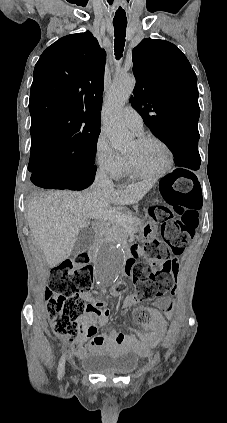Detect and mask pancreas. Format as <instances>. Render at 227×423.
Masks as SVG:
<instances>
[{"label": "pancreas", "instance_id": "1", "mask_svg": "<svg viewBox=\"0 0 227 423\" xmlns=\"http://www.w3.org/2000/svg\"><path fill=\"white\" fill-rule=\"evenodd\" d=\"M125 215L133 217V221H126V223H118V221H101L98 225V231L101 233L104 239H115V241H121L128 237L130 233H136L138 229H141L140 217H135L132 211H120Z\"/></svg>", "mask_w": 227, "mask_h": 423}]
</instances>
